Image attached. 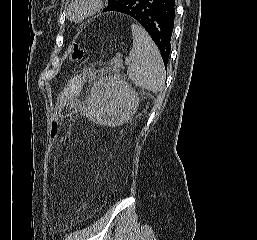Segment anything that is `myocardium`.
<instances>
[{
    "instance_id": "myocardium-1",
    "label": "myocardium",
    "mask_w": 257,
    "mask_h": 240,
    "mask_svg": "<svg viewBox=\"0 0 257 240\" xmlns=\"http://www.w3.org/2000/svg\"><path fill=\"white\" fill-rule=\"evenodd\" d=\"M101 4L102 0H72L67 9L69 17L73 22L81 23L93 16Z\"/></svg>"
}]
</instances>
